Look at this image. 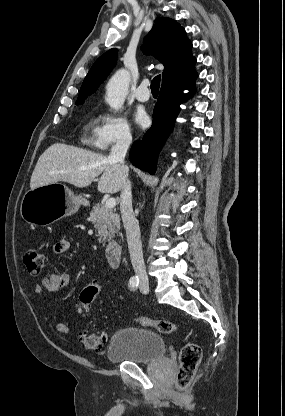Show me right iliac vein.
I'll return each instance as SVG.
<instances>
[{"instance_id":"obj_1","label":"right iliac vein","mask_w":285,"mask_h":416,"mask_svg":"<svg viewBox=\"0 0 285 416\" xmlns=\"http://www.w3.org/2000/svg\"><path fill=\"white\" fill-rule=\"evenodd\" d=\"M141 284L146 285V284H147V282H146V281H142V282H141Z\"/></svg>"}]
</instances>
